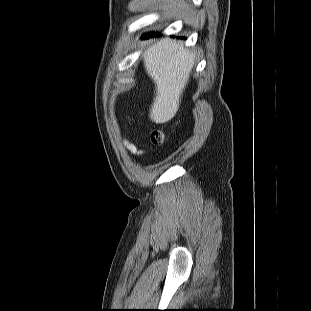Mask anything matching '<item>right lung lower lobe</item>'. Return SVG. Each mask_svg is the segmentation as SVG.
Wrapping results in <instances>:
<instances>
[{"label": "right lung lower lobe", "instance_id": "98d812e1", "mask_svg": "<svg viewBox=\"0 0 311 311\" xmlns=\"http://www.w3.org/2000/svg\"><path fill=\"white\" fill-rule=\"evenodd\" d=\"M153 35H154V33H153ZM150 36H152V34L144 35V38H148Z\"/></svg>", "mask_w": 311, "mask_h": 311}]
</instances>
